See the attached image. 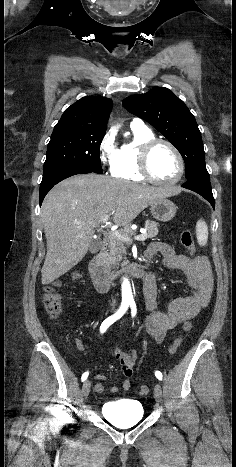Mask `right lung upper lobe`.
Wrapping results in <instances>:
<instances>
[{"mask_svg":"<svg viewBox=\"0 0 236 467\" xmlns=\"http://www.w3.org/2000/svg\"><path fill=\"white\" fill-rule=\"evenodd\" d=\"M112 105L108 98L84 97L65 110L54 128L105 132Z\"/></svg>","mask_w":236,"mask_h":467,"instance_id":"obj_1","label":"right lung upper lobe"}]
</instances>
